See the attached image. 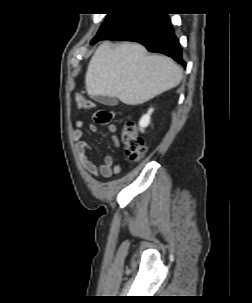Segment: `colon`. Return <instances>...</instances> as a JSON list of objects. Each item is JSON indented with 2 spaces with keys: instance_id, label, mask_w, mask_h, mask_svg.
Listing matches in <instances>:
<instances>
[{
  "instance_id": "1",
  "label": "colon",
  "mask_w": 252,
  "mask_h": 303,
  "mask_svg": "<svg viewBox=\"0 0 252 303\" xmlns=\"http://www.w3.org/2000/svg\"><path fill=\"white\" fill-rule=\"evenodd\" d=\"M76 102L78 107L81 109H90L95 106L94 102L86 101L80 96L76 98ZM113 119L114 113L110 110L99 109L93 115V121L100 125L109 124ZM121 140L131 161H139L144 156V143L142 138L139 136L134 123H126L122 130Z\"/></svg>"
}]
</instances>
